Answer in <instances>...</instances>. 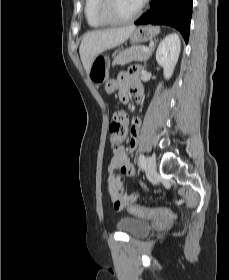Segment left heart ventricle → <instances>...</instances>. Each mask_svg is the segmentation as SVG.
<instances>
[{
    "label": "left heart ventricle",
    "mask_w": 229,
    "mask_h": 280,
    "mask_svg": "<svg viewBox=\"0 0 229 280\" xmlns=\"http://www.w3.org/2000/svg\"><path fill=\"white\" fill-rule=\"evenodd\" d=\"M138 7L137 0H113L111 10L117 17H129Z\"/></svg>",
    "instance_id": "left-heart-ventricle-1"
}]
</instances>
